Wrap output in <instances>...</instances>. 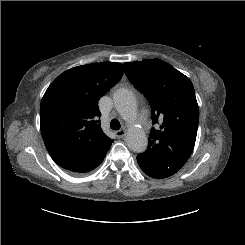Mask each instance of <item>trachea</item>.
I'll return each instance as SVG.
<instances>
[{"label":"trachea","instance_id":"1","mask_svg":"<svg viewBox=\"0 0 245 245\" xmlns=\"http://www.w3.org/2000/svg\"><path fill=\"white\" fill-rule=\"evenodd\" d=\"M120 127H121L120 122H119L117 119H113V120L111 121V128H112L113 130H119Z\"/></svg>","mask_w":245,"mask_h":245}]
</instances>
